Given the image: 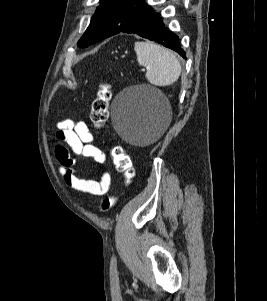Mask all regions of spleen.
<instances>
[{
    "mask_svg": "<svg viewBox=\"0 0 267 301\" xmlns=\"http://www.w3.org/2000/svg\"><path fill=\"white\" fill-rule=\"evenodd\" d=\"M134 50L138 64L146 67V78L151 84L169 86L179 78L181 65L170 50L150 42H136Z\"/></svg>",
    "mask_w": 267,
    "mask_h": 301,
    "instance_id": "obj_1",
    "label": "spleen"
}]
</instances>
